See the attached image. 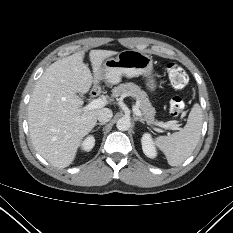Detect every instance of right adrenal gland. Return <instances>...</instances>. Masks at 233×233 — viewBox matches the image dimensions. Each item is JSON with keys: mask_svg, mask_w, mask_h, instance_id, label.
Instances as JSON below:
<instances>
[{"mask_svg": "<svg viewBox=\"0 0 233 233\" xmlns=\"http://www.w3.org/2000/svg\"><path fill=\"white\" fill-rule=\"evenodd\" d=\"M97 125L102 126V125H105V123H96V126H97Z\"/></svg>", "mask_w": 233, "mask_h": 233, "instance_id": "obj_1", "label": "right adrenal gland"}]
</instances>
